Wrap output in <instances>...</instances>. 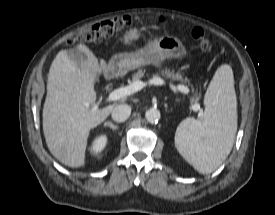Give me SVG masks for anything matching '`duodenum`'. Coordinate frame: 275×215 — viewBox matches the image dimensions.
<instances>
[{
  "instance_id": "1",
  "label": "duodenum",
  "mask_w": 275,
  "mask_h": 215,
  "mask_svg": "<svg viewBox=\"0 0 275 215\" xmlns=\"http://www.w3.org/2000/svg\"><path fill=\"white\" fill-rule=\"evenodd\" d=\"M113 74H114V73H113V71H111V70H107V71H106V75H107L108 77H112Z\"/></svg>"
}]
</instances>
